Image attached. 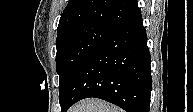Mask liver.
<instances>
[{
  "label": "liver",
  "mask_w": 193,
  "mask_h": 112,
  "mask_svg": "<svg viewBox=\"0 0 193 112\" xmlns=\"http://www.w3.org/2000/svg\"><path fill=\"white\" fill-rule=\"evenodd\" d=\"M69 112H123V110L100 99H84L71 107Z\"/></svg>",
  "instance_id": "obj_1"
}]
</instances>
